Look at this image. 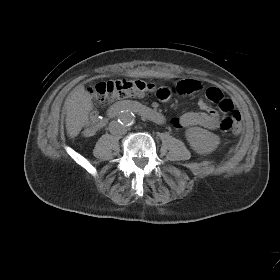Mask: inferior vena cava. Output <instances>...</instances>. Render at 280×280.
<instances>
[{
  "instance_id": "602c4592",
  "label": "inferior vena cava",
  "mask_w": 280,
  "mask_h": 280,
  "mask_svg": "<svg viewBox=\"0 0 280 280\" xmlns=\"http://www.w3.org/2000/svg\"><path fill=\"white\" fill-rule=\"evenodd\" d=\"M109 131L114 134V135H123L127 132V129L125 128V126L119 124L117 121H112L109 124Z\"/></svg>"
}]
</instances>
